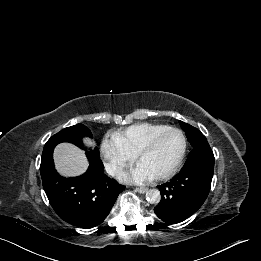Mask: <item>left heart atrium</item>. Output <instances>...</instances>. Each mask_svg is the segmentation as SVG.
<instances>
[{
  "mask_svg": "<svg viewBox=\"0 0 261 261\" xmlns=\"http://www.w3.org/2000/svg\"><path fill=\"white\" fill-rule=\"evenodd\" d=\"M154 177L155 176L140 163L126 175L128 180L135 183H145L152 180Z\"/></svg>",
  "mask_w": 261,
  "mask_h": 261,
  "instance_id": "obj_1",
  "label": "left heart atrium"
}]
</instances>
